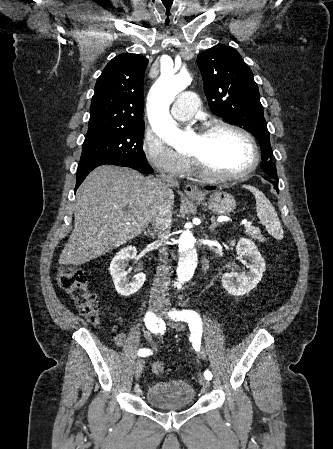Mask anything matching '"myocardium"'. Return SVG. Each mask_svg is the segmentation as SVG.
<instances>
[{"instance_id":"myocardium-1","label":"myocardium","mask_w":333,"mask_h":449,"mask_svg":"<svg viewBox=\"0 0 333 449\" xmlns=\"http://www.w3.org/2000/svg\"><path fill=\"white\" fill-rule=\"evenodd\" d=\"M218 130H229V131L235 132V133L241 135L242 137H244L250 144V147L252 150V156H253L252 162L250 163V165L248 167H246L245 169H243L239 172L222 175V174H216V173L212 172L211 170H209L207 168V166L204 164V162L197 156L190 155L191 161L194 164V167L197 170V172L206 180H209L211 182H217V183L239 180V179L249 175L250 173H252L257 168L259 161H260L259 148H258L257 142H256L255 138L253 137V135L242 127H239L235 124H231V123L224 122V121H211V122L204 123L199 131V134L200 135H208V134H210L214 131H218Z\"/></svg>"}]
</instances>
